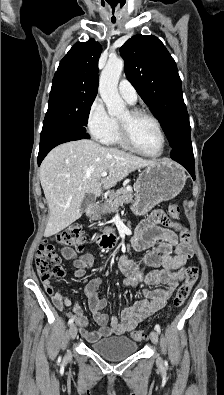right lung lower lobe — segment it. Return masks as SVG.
<instances>
[{
  "mask_svg": "<svg viewBox=\"0 0 224 395\" xmlns=\"http://www.w3.org/2000/svg\"><path fill=\"white\" fill-rule=\"evenodd\" d=\"M83 138H89L84 128L57 117H45L40 137L38 165L55 146Z\"/></svg>",
  "mask_w": 224,
  "mask_h": 395,
  "instance_id": "right-lung-lower-lobe-1",
  "label": "right lung lower lobe"
}]
</instances>
